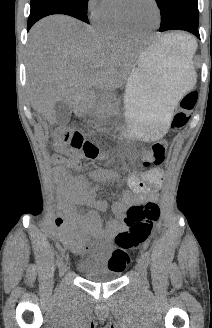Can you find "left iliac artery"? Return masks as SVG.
Here are the masks:
<instances>
[{
    "label": "left iliac artery",
    "instance_id": "1",
    "mask_svg": "<svg viewBox=\"0 0 212 328\" xmlns=\"http://www.w3.org/2000/svg\"><path fill=\"white\" fill-rule=\"evenodd\" d=\"M142 258H143L146 266H148L150 264V255H149V253L148 252H144L142 254Z\"/></svg>",
    "mask_w": 212,
    "mask_h": 328
}]
</instances>
